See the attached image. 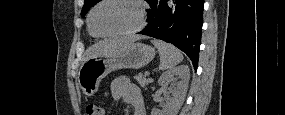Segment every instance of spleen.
I'll return each mask as SVG.
<instances>
[{
	"mask_svg": "<svg viewBox=\"0 0 285 115\" xmlns=\"http://www.w3.org/2000/svg\"><path fill=\"white\" fill-rule=\"evenodd\" d=\"M151 42L159 51L160 70H171L183 60L182 53L172 44L161 40H152Z\"/></svg>",
	"mask_w": 285,
	"mask_h": 115,
	"instance_id": "obj_1",
	"label": "spleen"
}]
</instances>
